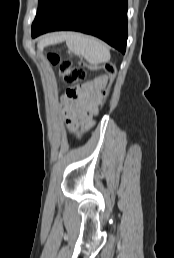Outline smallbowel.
Wrapping results in <instances>:
<instances>
[{
  "label": "small bowel",
  "mask_w": 174,
  "mask_h": 258,
  "mask_svg": "<svg viewBox=\"0 0 174 258\" xmlns=\"http://www.w3.org/2000/svg\"><path fill=\"white\" fill-rule=\"evenodd\" d=\"M105 85H108L107 76L98 75L79 89L75 99L69 98L66 94L62 97L66 122L71 130L80 125L92 124L98 105H102L101 90Z\"/></svg>",
  "instance_id": "obj_1"
}]
</instances>
